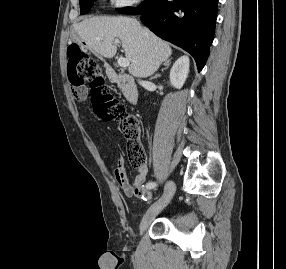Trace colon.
Segmentation results:
<instances>
[{"mask_svg": "<svg viewBox=\"0 0 286 269\" xmlns=\"http://www.w3.org/2000/svg\"><path fill=\"white\" fill-rule=\"evenodd\" d=\"M68 76L72 83V95L79 97L82 87L92 88L94 111L105 121H119L122 135L132 167L140 168L146 164V154L142 146L140 124L136 117L125 115V105L115 98L104 83L101 68L96 59L84 52L78 44L67 46ZM138 198L149 200L151 192L142 186L135 189Z\"/></svg>", "mask_w": 286, "mask_h": 269, "instance_id": "obj_1", "label": "colon"}]
</instances>
